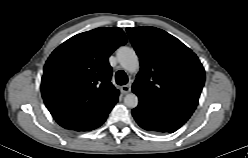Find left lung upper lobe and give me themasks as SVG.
<instances>
[{
  "mask_svg": "<svg viewBox=\"0 0 248 158\" xmlns=\"http://www.w3.org/2000/svg\"><path fill=\"white\" fill-rule=\"evenodd\" d=\"M126 30L141 65L132 85L139 97L136 109L172 133L190 118L198 104L204 68L192 50L161 29Z\"/></svg>",
  "mask_w": 248,
  "mask_h": 158,
  "instance_id": "5c2ea615",
  "label": "left lung upper lobe"
}]
</instances>
